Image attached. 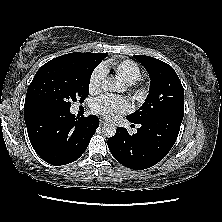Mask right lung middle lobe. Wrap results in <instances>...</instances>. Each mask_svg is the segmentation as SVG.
Segmentation results:
<instances>
[{
    "instance_id": "right-lung-middle-lobe-1",
    "label": "right lung middle lobe",
    "mask_w": 222,
    "mask_h": 222,
    "mask_svg": "<svg viewBox=\"0 0 222 222\" xmlns=\"http://www.w3.org/2000/svg\"><path fill=\"white\" fill-rule=\"evenodd\" d=\"M107 56L63 55L44 64L28 87L26 98L40 113L67 111L83 101L95 67Z\"/></svg>"
}]
</instances>
